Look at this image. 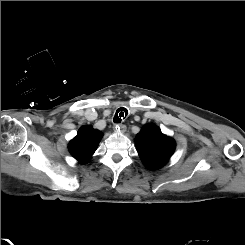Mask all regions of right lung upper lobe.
Wrapping results in <instances>:
<instances>
[{"mask_svg": "<svg viewBox=\"0 0 245 245\" xmlns=\"http://www.w3.org/2000/svg\"><path fill=\"white\" fill-rule=\"evenodd\" d=\"M102 137V133L92 127L83 126L69 143V151L80 163L89 161Z\"/></svg>", "mask_w": 245, "mask_h": 245, "instance_id": "right-lung-upper-lobe-1", "label": "right lung upper lobe"}]
</instances>
